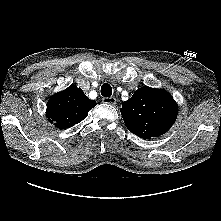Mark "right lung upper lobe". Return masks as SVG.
I'll list each match as a JSON object with an SVG mask.
<instances>
[{
  "instance_id": "cb5924a9",
  "label": "right lung upper lobe",
  "mask_w": 221,
  "mask_h": 221,
  "mask_svg": "<svg viewBox=\"0 0 221 221\" xmlns=\"http://www.w3.org/2000/svg\"><path fill=\"white\" fill-rule=\"evenodd\" d=\"M96 106L83 91L75 85L53 95L47 104V118L59 129H65L81 122L90 109Z\"/></svg>"
}]
</instances>
